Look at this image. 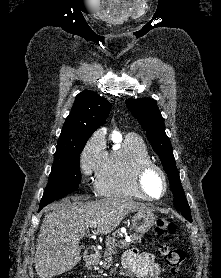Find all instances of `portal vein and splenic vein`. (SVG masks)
<instances>
[{
  "instance_id": "1",
  "label": "portal vein and splenic vein",
  "mask_w": 221,
  "mask_h": 278,
  "mask_svg": "<svg viewBox=\"0 0 221 278\" xmlns=\"http://www.w3.org/2000/svg\"><path fill=\"white\" fill-rule=\"evenodd\" d=\"M97 227V222L96 221H93L91 224H90V228L93 229V228H96ZM125 241H121V243H124Z\"/></svg>"
}]
</instances>
